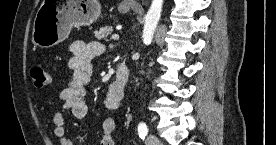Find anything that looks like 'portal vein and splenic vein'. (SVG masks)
<instances>
[{
	"instance_id": "18ae733b",
	"label": "portal vein and splenic vein",
	"mask_w": 276,
	"mask_h": 145,
	"mask_svg": "<svg viewBox=\"0 0 276 145\" xmlns=\"http://www.w3.org/2000/svg\"><path fill=\"white\" fill-rule=\"evenodd\" d=\"M113 40H118L119 39V35H117V34H114V35H112V37H111Z\"/></svg>"
}]
</instances>
